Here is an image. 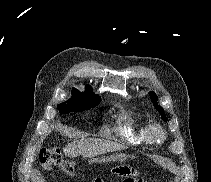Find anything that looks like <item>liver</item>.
Returning a JSON list of instances; mask_svg holds the SVG:
<instances>
[{
    "mask_svg": "<svg viewBox=\"0 0 211 182\" xmlns=\"http://www.w3.org/2000/svg\"><path fill=\"white\" fill-rule=\"evenodd\" d=\"M126 149L124 145L118 144L113 141L104 139H80L74 140L63 147V153L69 158H74L82 155L85 158H94L98 155L121 151Z\"/></svg>",
    "mask_w": 211,
    "mask_h": 182,
    "instance_id": "1",
    "label": "liver"
}]
</instances>
